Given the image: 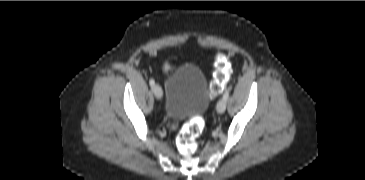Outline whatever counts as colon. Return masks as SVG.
<instances>
[{"label":"colon","instance_id":"5ec220e1","mask_svg":"<svg viewBox=\"0 0 365 180\" xmlns=\"http://www.w3.org/2000/svg\"><path fill=\"white\" fill-rule=\"evenodd\" d=\"M214 65L215 71L210 85V93L218 95L223 91L229 80L231 66L229 60L223 54H218L215 57ZM204 125L201 118H193L182 127L176 141L177 149L182 155L190 157L196 153L198 149L197 138L202 133Z\"/></svg>","mask_w":365,"mask_h":180}]
</instances>
